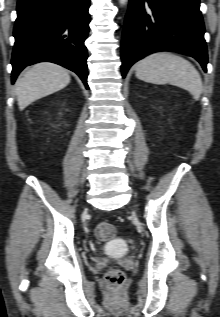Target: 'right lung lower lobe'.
<instances>
[{"mask_svg":"<svg viewBox=\"0 0 220 317\" xmlns=\"http://www.w3.org/2000/svg\"><path fill=\"white\" fill-rule=\"evenodd\" d=\"M90 0H18L12 83L28 65L53 62L77 73L86 88Z\"/></svg>","mask_w":220,"mask_h":317,"instance_id":"obj_1","label":"right lung lower lobe"}]
</instances>
